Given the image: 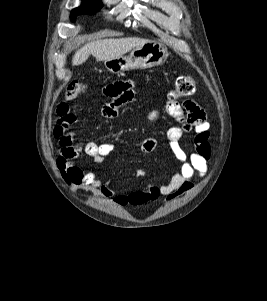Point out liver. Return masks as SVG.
Instances as JSON below:
<instances>
[{
  "instance_id": "liver-1",
  "label": "liver",
  "mask_w": 267,
  "mask_h": 301,
  "mask_svg": "<svg viewBox=\"0 0 267 301\" xmlns=\"http://www.w3.org/2000/svg\"><path fill=\"white\" fill-rule=\"evenodd\" d=\"M147 42L149 40L137 37L97 40L87 43L80 48L73 56L72 64L74 66L81 65L90 55L94 56L97 61H109L119 58L135 47Z\"/></svg>"
}]
</instances>
